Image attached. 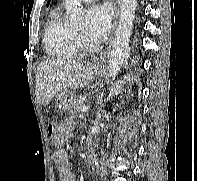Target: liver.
I'll list each match as a JSON object with an SVG mask.
<instances>
[{
  "mask_svg": "<svg viewBox=\"0 0 197 181\" xmlns=\"http://www.w3.org/2000/svg\"><path fill=\"white\" fill-rule=\"evenodd\" d=\"M95 74V66L88 61L66 57L48 59L40 63L36 72V97L47 105L63 89L86 86Z\"/></svg>",
  "mask_w": 197,
  "mask_h": 181,
  "instance_id": "6515ba94",
  "label": "liver"
}]
</instances>
